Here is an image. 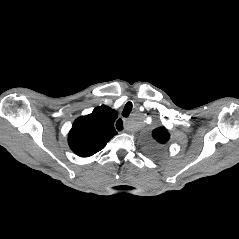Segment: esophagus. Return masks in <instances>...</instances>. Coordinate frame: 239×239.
I'll use <instances>...</instances> for the list:
<instances>
[{
	"label": "esophagus",
	"mask_w": 239,
	"mask_h": 239,
	"mask_svg": "<svg viewBox=\"0 0 239 239\" xmlns=\"http://www.w3.org/2000/svg\"><path fill=\"white\" fill-rule=\"evenodd\" d=\"M116 128H117L118 131L123 130V125H122V120L121 119L117 120Z\"/></svg>",
	"instance_id": "esophagus-1"
}]
</instances>
